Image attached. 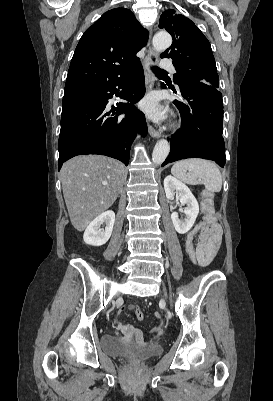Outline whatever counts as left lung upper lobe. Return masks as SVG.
<instances>
[{
  "label": "left lung upper lobe",
  "mask_w": 273,
  "mask_h": 401,
  "mask_svg": "<svg viewBox=\"0 0 273 401\" xmlns=\"http://www.w3.org/2000/svg\"><path fill=\"white\" fill-rule=\"evenodd\" d=\"M159 28L168 31L172 45L161 58L173 59L177 71L174 82H204L219 88L215 59L209 41L189 18L167 10L160 17Z\"/></svg>",
  "instance_id": "obj_1"
}]
</instances>
